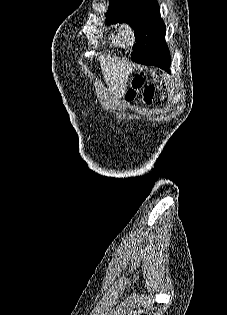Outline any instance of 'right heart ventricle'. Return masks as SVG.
Listing matches in <instances>:
<instances>
[{"instance_id": "obj_1", "label": "right heart ventricle", "mask_w": 227, "mask_h": 315, "mask_svg": "<svg viewBox=\"0 0 227 315\" xmlns=\"http://www.w3.org/2000/svg\"><path fill=\"white\" fill-rule=\"evenodd\" d=\"M111 39H112V42H113L115 45H118V44H119L118 35H116L115 33L112 34Z\"/></svg>"}]
</instances>
